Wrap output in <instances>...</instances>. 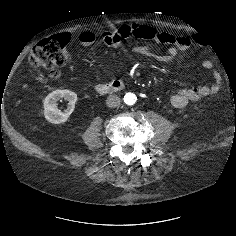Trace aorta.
Here are the masks:
<instances>
[{"instance_id": "aorta-1", "label": "aorta", "mask_w": 236, "mask_h": 236, "mask_svg": "<svg viewBox=\"0 0 236 236\" xmlns=\"http://www.w3.org/2000/svg\"><path fill=\"white\" fill-rule=\"evenodd\" d=\"M137 101V96L134 93L128 92L124 95V103L126 105H134Z\"/></svg>"}]
</instances>
